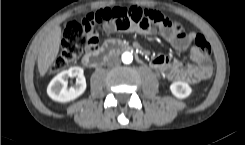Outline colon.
<instances>
[{"instance_id":"5ec220e1","label":"colon","mask_w":245,"mask_h":145,"mask_svg":"<svg viewBox=\"0 0 245 145\" xmlns=\"http://www.w3.org/2000/svg\"><path fill=\"white\" fill-rule=\"evenodd\" d=\"M92 19L96 22H111L122 31H149L160 24L172 25L171 20L161 13L137 6L101 9L93 14ZM90 26V19L70 20L65 24L61 50L50 68L51 72H58L66 68L82 53L85 47L96 48L99 38L96 34L91 33ZM176 27L179 28L178 25ZM193 44L202 55L210 54L211 47L205 36L196 35ZM204 75H208V69L205 70Z\"/></svg>"}]
</instances>
